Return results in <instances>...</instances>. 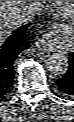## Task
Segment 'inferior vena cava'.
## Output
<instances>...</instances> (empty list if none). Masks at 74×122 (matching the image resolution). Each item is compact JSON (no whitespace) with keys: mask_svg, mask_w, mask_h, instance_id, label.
Returning a JSON list of instances; mask_svg holds the SVG:
<instances>
[{"mask_svg":"<svg viewBox=\"0 0 74 122\" xmlns=\"http://www.w3.org/2000/svg\"><path fill=\"white\" fill-rule=\"evenodd\" d=\"M39 9V3L35 2L33 6L26 7L21 11L20 14V23L28 22L30 19H32L37 13Z\"/></svg>","mask_w":74,"mask_h":122,"instance_id":"1","label":"inferior vena cava"}]
</instances>
